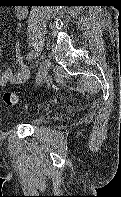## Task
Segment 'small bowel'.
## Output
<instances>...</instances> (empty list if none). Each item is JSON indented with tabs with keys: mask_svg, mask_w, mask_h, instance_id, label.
I'll return each instance as SVG.
<instances>
[{
	"mask_svg": "<svg viewBox=\"0 0 121 197\" xmlns=\"http://www.w3.org/2000/svg\"><path fill=\"white\" fill-rule=\"evenodd\" d=\"M26 15V10L22 7L16 9V16L18 19H23ZM16 58L18 60L20 70L17 74H14L12 68L7 67L0 72V87H5L9 84H24L30 77V71L26 66L23 57L20 53L19 43H16ZM1 61V50H0Z\"/></svg>",
	"mask_w": 121,
	"mask_h": 197,
	"instance_id": "obj_1",
	"label": "small bowel"
}]
</instances>
